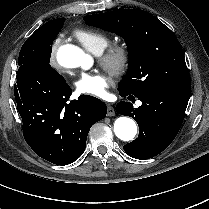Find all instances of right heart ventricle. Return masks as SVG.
I'll use <instances>...</instances> for the list:
<instances>
[{
	"label": "right heart ventricle",
	"instance_id": "1",
	"mask_svg": "<svg viewBox=\"0 0 209 209\" xmlns=\"http://www.w3.org/2000/svg\"><path fill=\"white\" fill-rule=\"evenodd\" d=\"M78 41L90 52L101 53L108 45L109 37L96 29L83 28L75 33Z\"/></svg>",
	"mask_w": 209,
	"mask_h": 209
}]
</instances>
